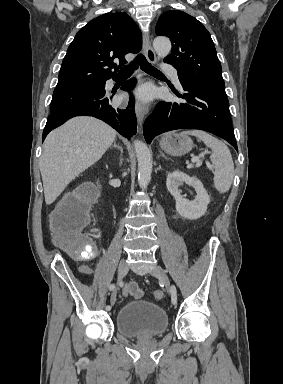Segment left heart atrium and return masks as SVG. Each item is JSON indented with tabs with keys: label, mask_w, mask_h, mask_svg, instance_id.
I'll list each match as a JSON object with an SVG mask.
<instances>
[{
	"label": "left heart atrium",
	"mask_w": 283,
	"mask_h": 384,
	"mask_svg": "<svg viewBox=\"0 0 283 384\" xmlns=\"http://www.w3.org/2000/svg\"><path fill=\"white\" fill-rule=\"evenodd\" d=\"M150 95V91L148 89H142L138 92V96L141 98H147Z\"/></svg>",
	"instance_id": "obj_1"
}]
</instances>
